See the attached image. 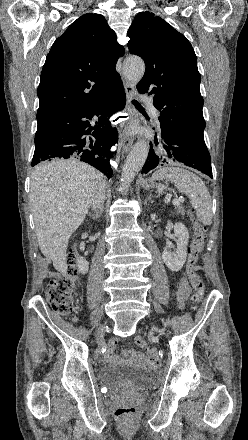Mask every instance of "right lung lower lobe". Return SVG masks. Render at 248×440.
Returning <instances> with one entry per match:
<instances>
[{"instance_id": "obj_1", "label": "right lung lower lobe", "mask_w": 248, "mask_h": 440, "mask_svg": "<svg viewBox=\"0 0 248 440\" xmlns=\"http://www.w3.org/2000/svg\"><path fill=\"white\" fill-rule=\"evenodd\" d=\"M126 103L121 78L102 98L78 103L38 121L31 166L51 158H76L112 176L111 146L118 141L109 118Z\"/></svg>"}]
</instances>
